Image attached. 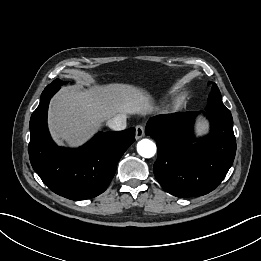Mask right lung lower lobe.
Wrapping results in <instances>:
<instances>
[{
  "label": "right lung lower lobe",
  "mask_w": 261,
  "mask_h": 261,
  "mask_svg": "<svg viewBox=\"0 0 261 261\" xmlns=\"http://www.w3.org/2000/svg\"><path fill=\"white\" fill-rule=\"evenodd\" d=\"M60 85L49 84L30 119L29 158L35 172L54 193L71 200H85L103 193L117 163L135 141V128L99 132L78 149L58 147L50 137L47 111Z\"/></svg>",
  "instance_id": "right-lung-lower-lobe-1"
}]
</instances>
